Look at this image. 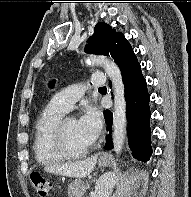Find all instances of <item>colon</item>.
<instances>
[{
	"label": "colon",
	"instance_id": "obj_1",
	"mask_svg": "<svg viewBox=\"0 0 191 197\" xmlns=\"http://www.w3.org/2000/svg\"><path fill=\"white\" fill-rule=\"evenodd\" d=\"M31 181L36 193L42 197H46L50 191V183L40 174L31 175Z\"/></svg>",
	"mask_w": 191,
	"mask_h": 197
}]
</instances>
